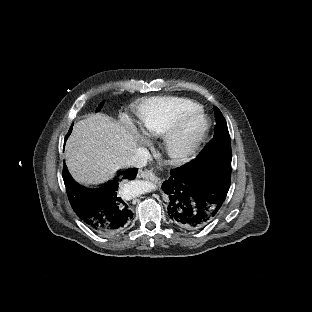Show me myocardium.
<instances>
[{
	"label": "myocardium",
	"instance_id": "myocardium-1",
	"mask_svg": "<svg viewBox=\"0 0 312 312\" xmlns=\"http://www.w3.org/2000/svg\"><path fill=\"white\" fill-rule=\"evenodd\" d=\"M208 122L205 115L198 110L184 113L178 123L169 132L168 146L177 156L187 155L192 146L201 143L206 136Z\"/></svg>",
	"mask_w": 312,
	"mask_h": 312
}]
</instances>
